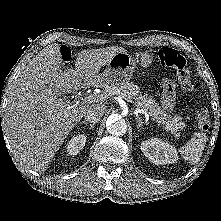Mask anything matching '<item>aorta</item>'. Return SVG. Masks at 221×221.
Returning <instances> with one entry per match:
<instances>
[{
  "mask_svg": "<svg viewBox=\"0 0 221 221\" xmlns=\"http://www.w3.org/2000/svg\"><path fill=\"white\" fill-rule=\"evenodd\" d=\"M107 131L114 136L124 135L127 131V122L118 114H113L106 121Z\"/></svg>",
  "mask_w": 221,
  "mask_h": 221,
  "instance_id": "1",
  "label": "aorta"
}]
</instances>
